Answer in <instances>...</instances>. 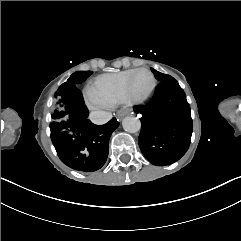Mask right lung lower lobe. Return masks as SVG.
Wrapping results in <instances>:
<instances>
[{
    "mask_svg": "<svg viewBox=\"0 0 241 241\" xmlns=\"http://www.w3.org/2000/svg\"><path fill=\"white\" fill-rule=\"evenodd\" d=\"M67 97L69 118L50 124L52 143L67 166L84 172L96 171L107 160L109 138L119 122L112 118L104 125L93 124L77 87H69Z\"/></svg>",
    "mask_w": 241,
    "mask_h": 241,
    "instance_id": "right-lung-lower-lobe-1",
    "label": "right lung lower lobe"
}]
</instances>
